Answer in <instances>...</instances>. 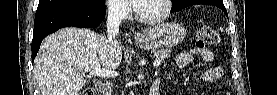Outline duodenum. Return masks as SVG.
<instances>
[{
	"label": "duodenum",
	"mask_w": 277,
	"mask_h": 95,
	"mask_svg": "<svg viewBox=\"0 0 277 95\" xmlns=\"http://www.w3.org/2000/svg\"><path fill=\"white\" fill-rule=\"evenodd\" d=\"M97 93L101 95H110L111 87L109 83H99L96 87ZM150 95H160V80L156 79L150 87Z\"/></svg>",
	"instance_id": "410a0bca"
}]
</instances>
